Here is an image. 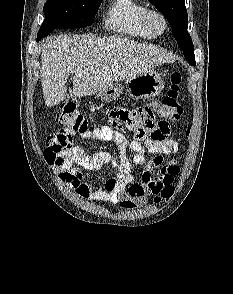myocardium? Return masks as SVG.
Returning <instances> with one entry per match:
<instances>
[{
    "mask_svg": "<svg viewBox=\"0 0 233 294\" xmlns=\"http://www.w3.org/2000/svg\"><path fill=\"white\" fill-rule=\"evenodd\" d=\"M144 24L155 36L162 35L168 29L166 16L158 9L148 8L143 17Z\"/></svg>",
    "mask_w": 233,
    "mask_h": 294,
    "instance_id": "obj_1",
    "label": "myocardium"
}]
</instances>
